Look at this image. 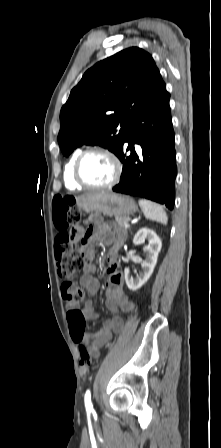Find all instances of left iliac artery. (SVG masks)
<instances>
[{
    "mask_svg": "<svg viewBox=\"0 0 221 448\" xmlns=\"http://www.w3.org/2000/svg\"><path fill=\"white\" fill-rule=\"evenodd\" d=\"M84 401H85L86 409L87 410H92L93 405H92V402H91V393H90L89 390H87L86 393H85Z\"/></svg>",
    "mask_w": 221,
    "mask_h": 448,
    "instance_id": "44dca946",
    "label": "left iliac artery"
}]
</instances>
